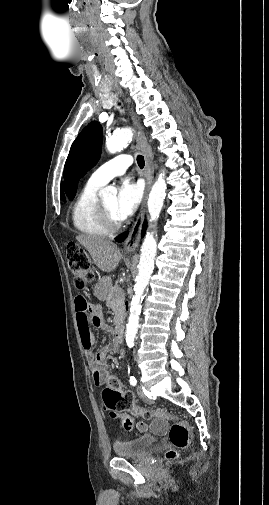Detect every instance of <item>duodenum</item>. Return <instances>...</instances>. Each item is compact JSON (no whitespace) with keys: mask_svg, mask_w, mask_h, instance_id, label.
Returning <instances> with one entry per match:
<instances>
[{"mask_svg":"<svg viewBox=\"0 0 269 505\" xmlns=\"http://www.w3.org/2000/svg\"><path fill=\"white\" fill-rule=\"evenodd\" d=\"M114 336H115V339L118 343H122L123 342V336H124V325L123 323L121 322H118L115 326V329H114Z\"/></svg>","mask_w":269,"mask_h":505,"instance_id":"1","label":"duodenum"}]
</instances>
